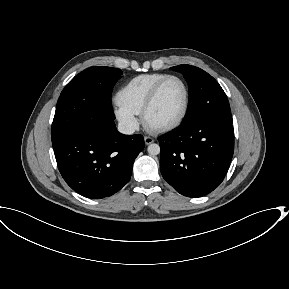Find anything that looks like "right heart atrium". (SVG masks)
Listing matches in <instances>:
<instances>
[{
    "mask_svg": "<svg viewBox=\"0 0 289 289\" xmlns=\"http://www.w3.org/2000/svg\"><path fill=\"white\" fill-rule=\"evenodd\" d=\"M114 114L123 128L128 132L135 131L139 126V121L133 112L117 103L114 107Z\"/></svg>",
    "mask_w": 289,
    "mask_h": 289,
    "instance_id": "obj_1",
    "label": "right heart atrium"
}]
</instances>
